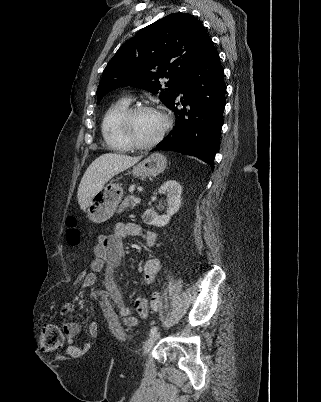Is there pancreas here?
Returning a JSON list of instances; mask_svg holds the SVG:
<instances>
[{"mask_svg":"<svg viewBox=\"0 0 321 402\" xmlns=\"http://www.w3.org/2000/svg\"><path fill=\"white\" fill-rule=\"evenodd\" d=\"M136 206V203L133 199V197L131 196H127L123 202L121 203L119 209H118V213H122L125 210H130L133 209Z\"/></svg>","mask_w":321,"mask_h":402,"instance_id":"cf45deb5","label":"pancreas"}]
</instances>
